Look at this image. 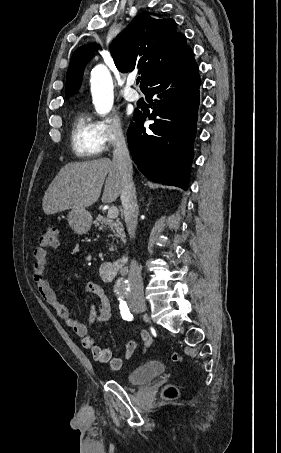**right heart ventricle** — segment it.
Masks as SVG:
<instances>
[{
  "mask_svg": "<svg viewBox=\"0 0 281 453\" xmlns=\"http://www.w3.org/2000/svg\"><path fill=\"white\" fill-rule=\"evenodd\" d=\"M71 140L75 154L82 159L96 158L104 148L98 122L86 108L79 109L74 117Z\"/></svg>",
  "mask_w": 281,
  "mask_h": 453,
  "instance_id": "1",
  "label": "right heart ventricle"
}]
</instances>
